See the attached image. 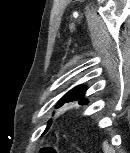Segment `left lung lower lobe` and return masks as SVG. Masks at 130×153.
Segmentation results:
<instances>
[{
  "label": "left lung lower lobe",
  "instance_id": "0a47b994",
  "mask_svg": "<svg viewBox=\"0 0 130 153\" xmlns=\"http://www.w3.org/2000/svg\"><path fill=\"white\" fill-rule=\"evenodd\" d=\"M74 100H77V99H74ZM74 100H71V101H74ZM71 101H69V102H71ZM79 104H80V105H83V104H86V102L83 101V100H79Z\"/></svg>",
  "mask_w": 130,
  "mask_h": 153
}]
</instances>
